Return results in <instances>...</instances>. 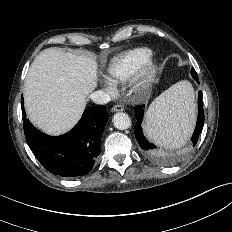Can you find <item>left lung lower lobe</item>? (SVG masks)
Returning <instances> with one entry per match:
<instances>
[{
    "label": "left lung lower lobe",
    "mask_w": 232,
    "mask_h": 232,
    "mask_svg": "<svg viewBox=\"0 0 232 232\" xmlns=\"http://www.w3.org/2000/svg\"><path fill=\"white\" fill-rule=\"evenodd\" d=\"M191 75L193 76L194 80L197 83H199V79H198L197 73L195 72L194 68H192V70H191ZM202 99H203V95H202V92L200 91L199 97H198V119H197L195 131L192 135L193 146L196 145L199 134L202 131V128L204 125V112H203ZM143 115H144V106H136L135 107V117L137 119V123L134 126L135 137H136L140 147L144 151H147L150 155H152V150L155 148V146L152 143H149L142 133L141 122L143 119Z\"/></svg>",
    "instance_id": "left-lung-lower-lobe-1"
}]
</instances>
